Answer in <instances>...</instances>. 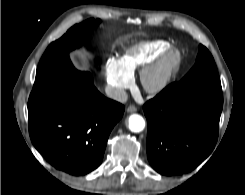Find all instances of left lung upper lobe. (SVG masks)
<instances>
[{
  "label": "left lung upper lobe",
  "mask_w": 245,
  "mask_h": 195,
  "mask_svg": "<svg viewBox=\"0 0 245 195\" xmlns=\"http://www.w3.org/2000/svg\"><path fill=\"white\" fill-rule=\"evenodd\" d=\"M180 83L190 88H202L222 92L221 82L214 59L203 45L199 46L195 65Z\"/></svg>",
  "instance_id": "obj_1"
}]
</instances>
